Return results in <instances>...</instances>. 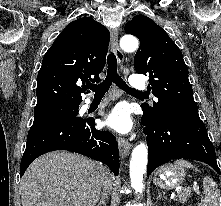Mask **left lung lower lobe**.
Wrapping results in <instances>:
<instances>
[{
    "mask_svg": "<svg viewBox=\"0 0 221 206\" xmlns=\"http://www.w3.org/2000/svg\"><path fill=\"white\" fill-rule=\"evenodd\" d=\"M142 109L144 116L141 121L145 126L149 154L147 176L160 165L179 158L202 161L220 174L213 144L200 119L155 121L143 107Z\"/></svg>",
    "mask_w": 221,
    "mask_h": 206,
    "instance_id": "left-lung-lower-lobe-1",
    "label": "left lung lower lobe"
}]
</instances>
